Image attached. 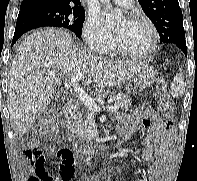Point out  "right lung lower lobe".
<instances>
[{
    "instance_id": "1",
    "label": "right lung lower lobe",
    "mask_w": 197,
    "mask_h": 181,
    "mask_svg": "<svg viewBox=\"0 0 197 181\" xmlns=\"http://www.w3.org/2000/svg\"><path fill=\"white\" fill-rule=\"evenodd\" d=\"M39 27H57V23L41 14L20 10L12 45L25 32Z\"/></svg>"
}]
</instances>
